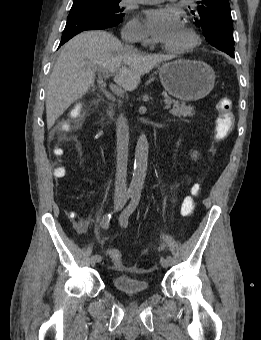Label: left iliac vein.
<instances>
[{"label":"left iliac vein","instance_id":"4c4485c4","mask_svg":"<svg viewBox=\"0 0 261 340\" xmlns=\"http://www.w3.org/2000/svg\"><path fill=\"white\" fill-rule=\"evenodd\" d=\"M160 263H161L162 267H164V268H167V267L170 266V263H169V262L167 261V259L164 258V257H162V258L160 259Z\"/></svg>","mask_w":261,"mask_h":340}]
</instances>
